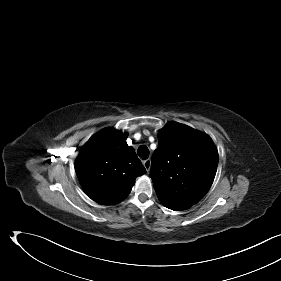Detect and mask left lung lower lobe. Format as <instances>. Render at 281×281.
<instances>
[{"label":"left lung lower lobe","mask_w":281,"mask_h":281,"mask_svg":"<svg viewBox=\"0 0 281 281\" xmlns=\"http://www.w3.org/2000/svg\"><path fill=\"white\" fill-rule=\"evenodd\" d=\"M175 211H181V210H185V209H181V208H178V209H174Z\"/></svg>","instance_id":"1"}]
</instances>
